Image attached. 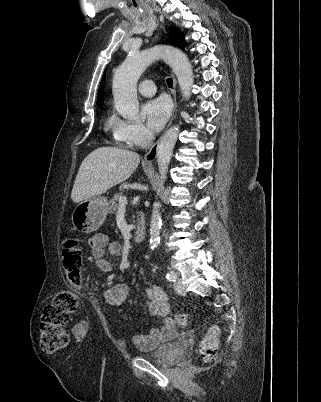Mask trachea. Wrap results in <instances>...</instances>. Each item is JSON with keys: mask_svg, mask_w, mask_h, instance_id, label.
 Here are the masks:
<instances>
[{"mask_svg": "<svg viewBox=\"0 0 321 402\" xmlns=\"http://www.w3.org/2000/svg\"><path fill=\"white\" fill-rule=\"evenodd\" d=\"M166 83H167V85H168L169 87H172V85H173V80H172L171 78H168V79L166 80Z\"/></svg>", "mask_w": 321, "mask_h": 402, "instance_id": "trachea-1", "label": "trachea"}]
</instances>
